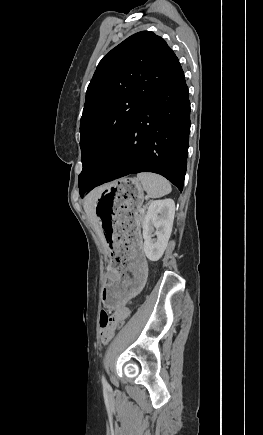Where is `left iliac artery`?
<instances>
[{
    "mask_svg": "<svg viewBox=\"0 0 263 435\" xmlns=\"http://www.w3.org/2000/svg\"><path fill=\"white\" fill-rule=\"evenodd\" d=\"M102 383H103L104 387H108V383H107V381H106L104 376H102Z\"/></svg>",
    "mask_w": 263,
    "mask_h": 435,
    "instance_id": "1",
    "label": "left iliac artery"
}]
</instances>
